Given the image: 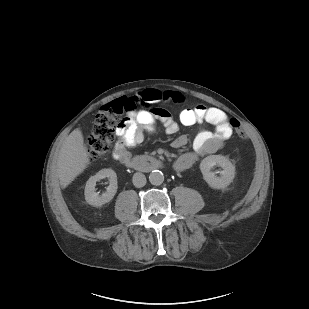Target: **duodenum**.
Wrapping results in <instances>:
<instances>
[{
	"instance_id": "410a0bca",
	"label": "duodenum",
	"mask_w": 309,
	"mask_h": 309,
	"mask_svg": "<svg viewBox=\"0 0 309 309\" xmlns=\"http://www.w3.org/2000/svg\"><path fill=\"white\" fill-rule=\"evenodd\" d=\"M126 164L130 168H134V169H138L142 171H153V170L161 169L163 167V163L154 157L127 160Z\"/></svg>"
}]
</instances>
